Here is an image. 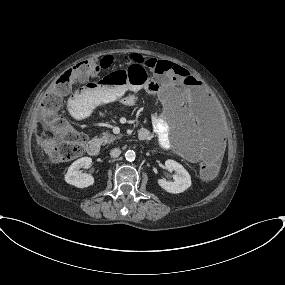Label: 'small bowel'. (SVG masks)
<instances>
[{
	"label": "small bowel",
	"instance_id": "1",
	"mask_svg": "<svg viewBox=\"0 0 285 285\" xmlns=\"http://www.w3.org/2000/svg\"><path fill=\"white\" fill-rule=\"evenodd\" d=\"M136 60L143 61L145 59L138 55ZM173 80L175 78L167 77L165 85L181 86L180 83L184 79L178 80L177 83ZM150 82L157 87L155 94L159 97L166 116L161 115L153 119L152 131L148 128H142L139 133H146V138L143 141L148 140L153 133L160 146L170 147L172 138L169 132V123L180 125L184 120L190 119L193 115V106L190 105L186 96L163 95L159 83L153 80ZM142 89L147 90L146 85L137 87L130 84L104 85L97 81L87 82L69 96L67 108L71 114L77 115L83 114L95 105L114 101H120L125 106H133L136 103V93ZM191 96H196L193 91H191ZM185 142L189 143L188 156L191 160H212L217 157L224 146L222 139L207 124H201L194 137H185Z\"/></svg>",
	"mask_w": 285,
	"mask_h": 285
}]
</instances>
